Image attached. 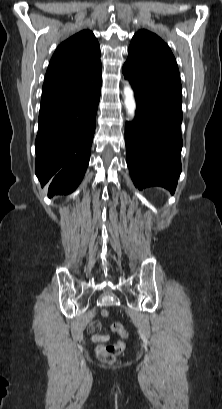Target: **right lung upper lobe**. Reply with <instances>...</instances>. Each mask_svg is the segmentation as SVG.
<instances>
[{
	"mask_svg": "<svg viewBox=\"0 0 222 409\" xmlns=\"http://www.w3.org/2000/svg\"><path fill=\"white\" fill-rule=\"evenodd\" d=\"M100 45L93 33L82 30L62 42L49 63L42 99L49 100L83 91L89 79L101 72Z\"/></svg>",
	"mask_w": 222,
	"mask_h": 409,
	"instance_id": "cb5924a9",
	"label": "right lung upper lobe"
}]
</instances>
